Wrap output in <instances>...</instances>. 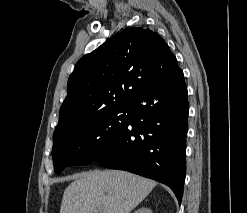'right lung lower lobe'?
Instances as JSON below:
<instances>
[{
  "label": "right lung lower lobe",
  "mask_w": 247,
  "mask_h": 213,
  "mask_svg": "<svg viewBox=\"0 0 247 213\" xmlns=\"http://www.w3.org/2000/svg\"><path fill=\"white\" fill-rule=\"evenodd\" d=\"M129 104L127 124L97 161L168 185L181 203L189 112L182 70L145 88Z\"/></svg>",
  "instance_id": "98d812e1"
}]
</instances>
